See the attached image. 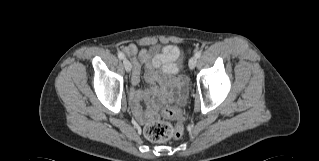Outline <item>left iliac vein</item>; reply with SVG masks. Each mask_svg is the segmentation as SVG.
Listing matches in <instances>:
<instances>
[{"label": "left iliac vein", "instance_id": "left-iliac-vein-1", "mask_svg": "<svg viewBox=\"0 0 319 161\" xmlns=\"http://www.w3.org/2000/svg\"><path fill=\"white\" fill-rule=\"evenodd\" d=\"M197 64V57L193 56L189 61V68L194 69Z\"/></svg>", "mask_w": 319, "mask_h": 161}]
</instances>
